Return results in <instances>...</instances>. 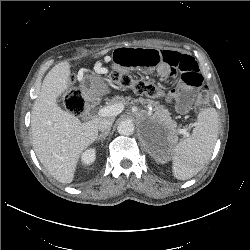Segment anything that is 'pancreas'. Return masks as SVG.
Here are the masks:
<instances>
[{
	"instance_id": "cf45deb5",
	"label": "pancreas",
	"mask_w": 250,
	"mask_h": 250,
	"mask_svg": "<svg viewBox=\"0 0 250 250\" xmlns=\"http://www.w3.org/2000/svg\"><path fill=\"white\" fill-rule=\"evenodd\" d=\"M133 102H140L142 104H147L149 106L153 107V114H152V118H155L159 121H164L169 125L170 131H169V135H168V141L170 143H176L178 141L177 136L175 135V126H174V122L171 120L170 114L168 112V110L159 104V102L157 101H152V100H145V99H138L135 101H131V103ZM107 103H122V104H128L130 103V98H123L121 96H115L113 99L108 100Z\"/></svg>"
}]
</instances>
